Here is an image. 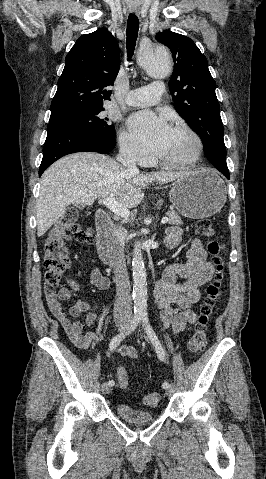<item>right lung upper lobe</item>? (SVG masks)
Returning a JSON list of instances; mask_svg holds the SVG:
<instances>
[{
  "label": "right lung upper lobe",
  "instance_id": "cb5924a9",
  "mask_svg": "<svg viewBox=\"0 0 266 479\" xmlns=\"http://www.w3.org/2000/svg\"><path fill=\"white\" fill-rule=\"evenodd\" d=\"M120 53L116 39L105 28L79 37L65 58L51 113L73 108H100L110 100L119 72Z\"/></svg>",
  "mask_w": 266,
  "mask_h": 479
}]
</instances>
